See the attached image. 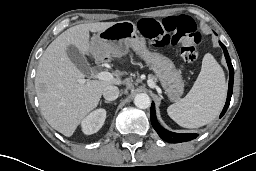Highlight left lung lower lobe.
Instances as JSON below:
<instances>
[{
	"label": "left lung lower lobe",
	"mask_w": 256,
	"mask_h": 171,
	"mask_svg": "<svg viewBox=\"0 0 256 171\" xmlns=\"http://www.w3.org/2000/svg\"><path fill=\"white\" fill-rule=\"evenodd\" d=\"M220 46L222 47L223 51H224V55L229 67V72H230V79H229V88H228V95H227V101L226 104L224 106V109L222 111V113L220 114V117H222L229 104H230V100H231V96H232V91H233V78H234V70H233V66L229 57V54L227 52V49L225 47V45L222 42H219ZM150 118H151V123L153 128L155 129V131L158 133V135L165 141L170 142V143H179V142H185V141H189L192 139H195L198 134H189V133H174V132H170L167 131L166 129H164L157 121L156 119V115H155V106L154 103L152 102L151 105V111H150Z\"/></svg>",
	"instance_id": "obj_1"
}]
</instances>
